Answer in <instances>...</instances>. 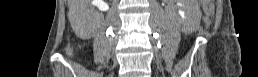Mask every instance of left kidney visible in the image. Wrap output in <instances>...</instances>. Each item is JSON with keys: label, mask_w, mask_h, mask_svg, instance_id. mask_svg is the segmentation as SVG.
Instances as JSON below:
<instances>
[{"label": "left kidney", "mask_w": 258, "mask_h": 77, "mask_svg": "<svg viewBox=\"0 0 258 77\" xmlns=\"http://www.w3.org/2000/svg\"><path fill=\"white\" fill-rule=\"evenodd\" d=\"M181 2H185V1L181 0ZM184 10H185L184 17L179 18L180 23L183 24L182 29L183 28L185 29L187 25H189L190 23H194V11H192L188 6L185 7Z\"/></svg>", "instance_id": "obj_1"}]
</instances>
